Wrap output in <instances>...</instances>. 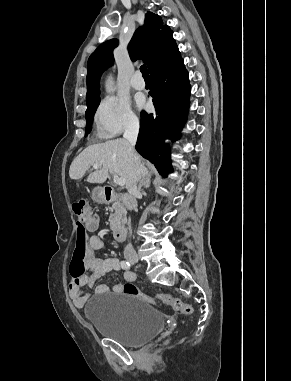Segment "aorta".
<instances>
[{
	"mask_svg": "<svg viewBox=\"0 0 291 381\" xmlns=\"http://www.w3.org/2000/svg\"><path fill=\"white\" fill-rule=\"evenodd\" d=\"M106 90H107L109 93L114 91V88H113V82H112V79H111V78H108L107 81H106Z\"/></svg>",
	"mask_w": 291,
	"mask_h": 381,
	"instance_id": "762f6f07",
	"label": "aorta"
}]
</instances>
